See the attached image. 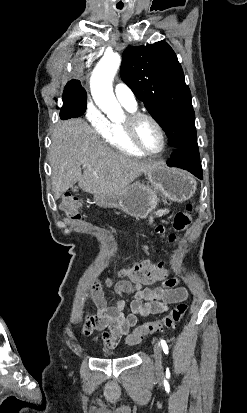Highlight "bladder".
<instances>
[{"label":"bladder","instance_id":"bladder-1","mask_svg":"<svg viewBox=\"0 0 247 413\" xmlns=\"http://www.w3.org/2000/svg\"><path fill=\"white\" fill-rule=\"evenodd\" d=\"M106 354L109 355V354H111V352H110V351H106Z\"/></svg>","mask_w":247,"mask_h":413}]
</instances>
